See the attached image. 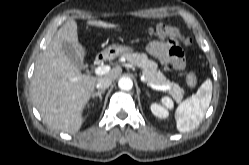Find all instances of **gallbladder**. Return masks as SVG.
<instances>
[{"label":"gallbladder","instance_id":"gallbladder-1","mask_svg":"<svg viewBox=\"0 0 249 165\" xmlns=\"http://www.w3.org/2000/svg\"><path fill=\"white\" fill-rule=\"evenodd\" d=\"M63 49L66 53V56L70 59L71 62H73L76 65V67H78L79 69H84L86 67V65L83 63V59H81L77 55L71 43L64 42Z\"/></svg>","mask_w":249,"mask_h":165}]
</instances>
